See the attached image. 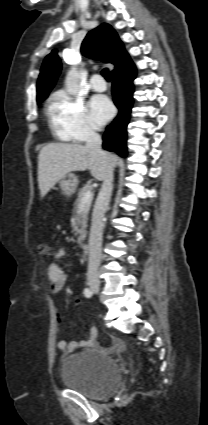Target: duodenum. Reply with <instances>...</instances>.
I'll return each mask as SVG.
<instances>
[{
  "label": "duodenum",
  "instance_id": "1",
  "mask_svg": "<svg viewBox=\"0 0 208 425\" xmlns=\"http://www.w3.org/2000/svg\"><path fill=\"white\" fill-rule=\"evenodd\" d=\"M81 247H82V250H83V253L84 254H88L89 253V246H88V244L83 243Z\"/></svg>",
  "mask_w": 208,
  "mask_h": 425
}]
</instances>
